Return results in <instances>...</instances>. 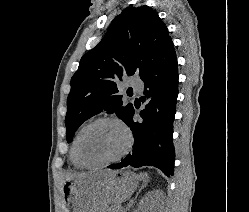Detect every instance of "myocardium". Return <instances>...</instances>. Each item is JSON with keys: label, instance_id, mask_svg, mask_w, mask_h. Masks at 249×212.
I'll return each mask as SVG.
<instances>
[{"label": "myocardium", "instance_id": "obj_1", "mask_svg": "<svg viewBox=\"0 0 249 212\" xmlns=\"http://www.w3.org/2000/svg\"><path fill=\"white\" fill-rule=\"evenodd\" d=\"M103 123H111L116 126H118L124 133L125 135V146L122 149V151L117 155L116 157L104 161V162H99V163H88L86 162L80 153V144L84 136L87 134L89 130H91L93 127L103 124ZM133 145V134L129 126L121 119L117 117H111V116H104V117H99L90 123H88L86 126L83 127V129L80 131L76 141H75V146H74V153H75V158L77 162L84 168H89V169H98V168H104L108 167L110 165H113L120 160H122L127 154L129 153L130 149L132 148Z\"/></svg>", "mask_w": 249, "mask_h": 212}]
</instances>
